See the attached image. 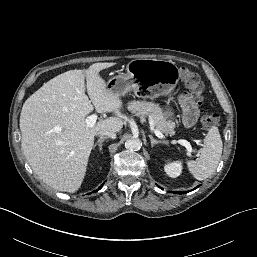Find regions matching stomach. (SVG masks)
<instances>
[{"instance_id": "obj_1", "label": "stomach", "mask_w": 257, "mask_h": 257, "mask_svg": "<svg viewBox=\"0 0 257 257\" xmlns=\"http://www.w3.org/2000/svg\"><path fill=\"white\" fill-rule=\"evenodd\" d=\"M178 66L167 60L135 59L126 66V74L111 78L107 89L120 96L133 91L142 98H157L172 93L179 81ZM167 117L174 114L173 108H165Z\"/></svg>"}]
</instances>
